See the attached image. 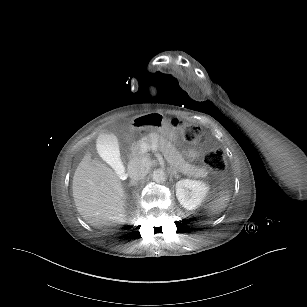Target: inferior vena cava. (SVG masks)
<instances>
[{"label":"inferior vena cava","mask_w":307,"mask_h":307,"mask_svg":"<svg viewBox=\"0 0 307 307\" xmlns=\"http://www.w3.org/2000/svg\"><path fill=\"white\" fill-rule=\"evenodd\" d=\"M127 172L132 180H140L148 174V168L139 159L133 158L128 163Z\"/></svg>","instance_id":"inferior-vena-cava-1"}]
</instances>
